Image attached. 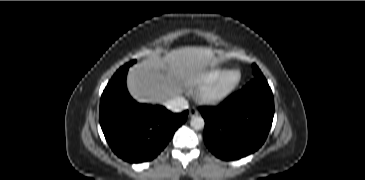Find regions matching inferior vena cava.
<instances>
[{
	"label": "inferior vena cava",
	"mask_w": 365,
	"mask_h": 180,
	"mask_svg": "<svg viewBox=\"0 0 365 180\" xmlns=\"http://www.w3.org/2000/svg\"><path fill=\"white\" fill-rule=\"evenodd\" d=\"M165 106L167 109L173 112H181L189 107L188 101L184 97H175L171 100H168L165 103Z\"/></svg>",
	"instance_id": "obj_1"
}]
</instances>
